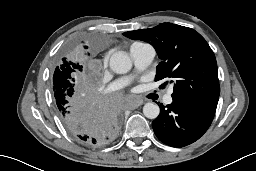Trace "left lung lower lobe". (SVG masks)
Instances as JSON below:
<instances>
[{"mask_svg": "<svg viewBox=\"0 0 256 171\" xmlns=\"http://www.w3.org/2000/svg\"><path fill=\"white\" fill-rule=\"evenodd\" d=\"M173 102L161 106L152 122L157 138L172 147H184L198 140L209 128L218 101L190 95H174Z\"/></svg>", "mask_w": 256, "mask_h": 171, "instance_id": "left-lung-lower-lobe-1", "label": "left lung lower lobe"}]
</instances>
